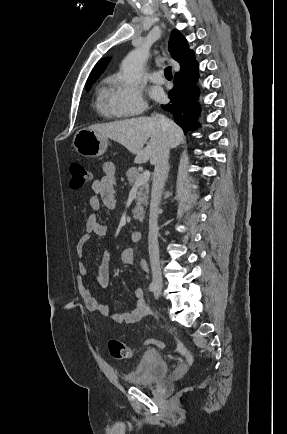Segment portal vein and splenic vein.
Here are the masks:
<instances>
[{"instance_id": "portal-vein-and-splenic-vein-1", "label": "portal vein and splenic vein", "mask_w": 287, "mask_h": 434, "mask_svg": "<svg viewBox=\"0 0 287 434\" xmlns=\"http://www.w3.org/2000/svg\"><path fill=\"white\" fill-rule=\"evenodd\" d=\"M150 178V172L147 170L143 172L135 181L134 187H140L143 184L147 183Z\"/></svg>"}]
</instances>
